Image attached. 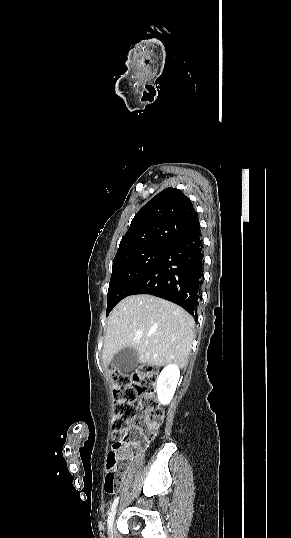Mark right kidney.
Returning a JSON list of instances; mask_svg holds the SVG:
<instances>
[{"label":"right kidney","instance_id":"right-kidney-1","mask_svg":"<svg viewBox=\"0 0 291 538\" xmlns=\"http://www.w3.org/2000/svg\"><path fill=\"white\" fill-rule=\"evenodd\" d=\"M180 377L178 365L169 364L161 371L156 385L158 401L162 405L170 403Z\"/></svg>","mask_w":291,"mask_h":538}]
</instances>
